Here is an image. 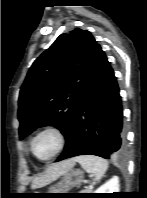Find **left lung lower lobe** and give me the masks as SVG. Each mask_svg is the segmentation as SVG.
Segmentation results:
<instances>
[{"label": "left lung lower lobe", "instance_id": "obj_1", "mask_svg": "<svg viewBox=\"0 0 147 198\" xmlns=\"http://www.w3.org/2000/svg\"><path fill=\"white\" fill-rule=\"evenodd\" d=\"M65 138V149L57 161L86 154L109 159L125 151L119 87L100 46L82 101Z\"/></svg>", "mask_w": 147, "mask_h": 198}]
</instances>
